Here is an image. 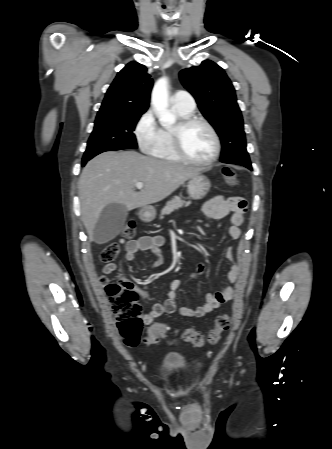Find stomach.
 Listing matches in <instances>:
<instances>
[{"mask_svg": "<svg viewBox=\"0 0 332 449\" xmlns=\"http://www.w3.org/2000/svg\"><path fill=\"white\" fill-rule=\"evenodd\" d=\"M187 187L190 198L200 200L209 192L211 183L205 175L199 173L189 179ZM139 216L143 221H152L156 216V210L152 207H145L140 211Z\"/></svg>", "mask_w": 332, "mask_h": 449, "instance_id": "1", "label": "stomach"}]
</instances>
